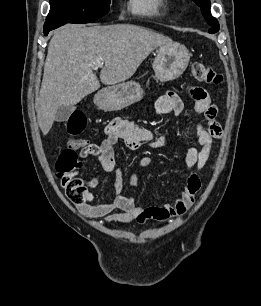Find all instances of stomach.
I'll return each mask as SVG.
<instances>
[{"mask_svg": "<svg viewBox=\"0 0 261 306\" xmlns=\"http://www.w3.org/2000/svg\"><path fill=\"white\" fill-rule=\"evenodd\" d=\"M190 60L188 49L176 42L159 46L153 62L155 77L161 82L177 79L186 70ZM144 90L135 81L113 85L99 91L94 98L102 110L114 111L140 101Z\"/></svg>", "mask_w": 261, "mask_h": 306, "instance_id": "1", "label": "stomach"}]
</instances>
